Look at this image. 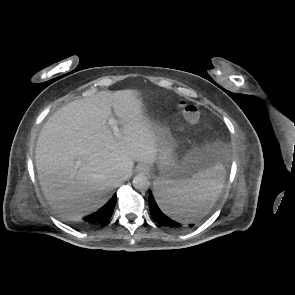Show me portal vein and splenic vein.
<instances>
[{
	"mask_svg": "<svg viewBox=\"0 0 295 295\" xmlns=\"http://www.w3.org/2000/svg\"><path fill=\"white\" fill-rule=\"evenodd\" d=\"M108 123L111 126L114 136L120 137V129L118 127L117 120H115L113 117H110Z\"/></svg>",
	"mask_w": 295,
	"mask_h": 295,
	"instance_id": "portal-vein-and-splenic-vein-1",
	"label": "portal vein and splenic vein"
}]
</instances>
